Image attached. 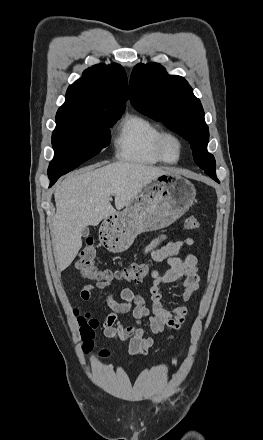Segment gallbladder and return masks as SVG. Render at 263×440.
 Listing matches in <instances>:
<instances>
[{
	"label": "gallbladder",
	"mask_w": 263,
	"mask_h": 440,
	"mask_svg": "<svg viewBox=\"0 0 263 440\" xmlns=\"http://www.w3.org/2000/svg\"><path fill=\"white\" fill-rule=\"evenodd\" d=\"M88 235H89V228L86 227V228H84L83 231H82V236H83V237H87Z\"/></svg>",
	"instance_id": "1"
}]
</instances>
